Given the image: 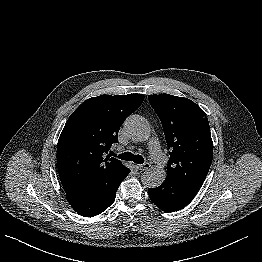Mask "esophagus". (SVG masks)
<instances>
[{
  "instance_id": "34e87169",
  "label": "esophagus",
  "mask_w": 262,
  "mask_h": 262,
  "mask_svg": "<svg viewBox=\"0 0 262 262\" xmlns=\"http://www.w3.org/2000/svg\"><path fill=\"white\" fill-rule=\"evenodd\" d=\"M135 166L139 170H147V169H149L151 167V164L146 162V163L141 164V165L136 164Z\"/></svg>"
}]
</instances>
